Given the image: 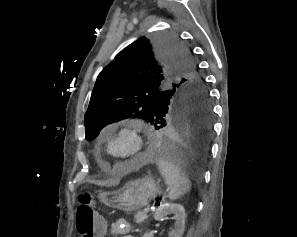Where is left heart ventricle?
Returning a JSON list of instances; mask_svg holds the SVG:
<instances>
[{
  "label": "left heart ventricle",
  "instance_id": "left-heart-ventricle-1",
  "mask_svg": "<svg viewBox=\"0 0 297 237\" xmlns=\"http://www.w3.org/2000/svg\"><path fill=\"white\" fill-rule=\"evenodd\" d=\"M131 151H132V142L126 136L113 140L110 145V152L118 158L127 155Z\"/></svg>",
  "mask_w": 297,
  "mask_h": 237
}]
</instances>
